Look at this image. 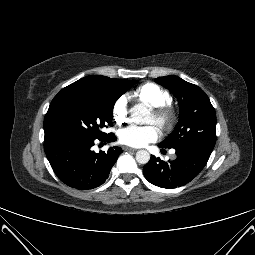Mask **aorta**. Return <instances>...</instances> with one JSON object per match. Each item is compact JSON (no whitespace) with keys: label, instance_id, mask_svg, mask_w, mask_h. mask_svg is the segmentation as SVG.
<instances>
[{"label":"aorta","instance_id":"762f6f07","mask_svg":"<svg viewBox=\"0 0 255 255\" xmlns=\"http://www.w3.org/2000/svg\"><path fill=\"white\" fill-rule=\"evenodd\" d=\"M131 120L137 124H147L150 118V112L143 104H137L130 109ZM150 160V154L146 150H139L136 153V161L140 164H147Z\"/></svg>","mask_w":255,"mask_h":255}]
</instances>
